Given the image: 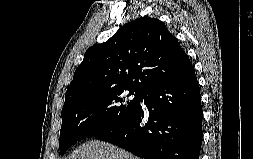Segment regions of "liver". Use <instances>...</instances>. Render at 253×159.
<instances>
[{
	"instance_id": "1",
	"label": "liver",
	"mask_w": 253,
	"mask_h": 159,
	"mask_svg": "<svg viewBox=\"0 0 253 159\" xmlns=\"http://www.w3.org/2000/svg\"><path fill=\"white\" fill-rule=\"evenodd\" d=\"M66 159H140L126 150L112 144L92 140L80 145Z\"/></svg>"
}]
</instances>
